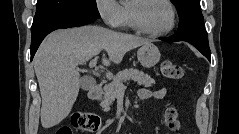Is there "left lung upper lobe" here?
Here are the masks:
<instances>
[{
  "label": "left lung upper lobe",
  "instance_id": "obj_1",
  "mask_svg": "<svg viewBox=\"0 0 239 134\" xmlns=\"http://www.w3.org/2000/svg\"><path fill=\"white\" fill-rule=\"evenodd\" d=\"M179 14V28L176 34L185 32L207 33L201 13L200 0H171Z\"/></svg>",
  "mask_w": 239,
  "mask_h": 134
}]
</instances>
